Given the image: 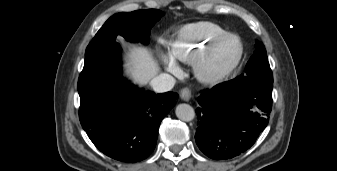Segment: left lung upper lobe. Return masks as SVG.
I'll list each match as a JSON object with an SVG mask.
<instances>
[{
	"instance_id": "left-lung-upper-lobe-1",
	"label": "left lung upper lobe",
	"mask_w": 337,
	"mask_h": 171,
	"mask_svg": "<svg viewBox=\"0 0 337 171\" xmlns=\"http://www.w3.org/2000/svg\"><path fill=\"white\" fill-rule=\"evenodd\" d=\"M263 77L273 79L272 71L268 62L264 45L259 41L256 42V50L248 61L245 71L239 77Z\"/></svg>"
}]
</instances>
